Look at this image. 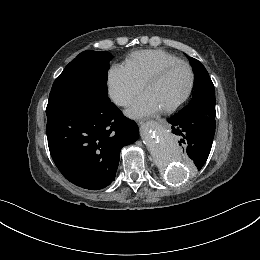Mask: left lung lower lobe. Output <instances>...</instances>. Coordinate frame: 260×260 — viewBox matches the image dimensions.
Wrapping results in <instances>:
<instances>
[{
  "mask_svg": "<svg viewBox=\"0 0 260 260\" xmlns=\"http://www.w3.org/2000/svg\"><path fill=\"white\" fill-rule=\"evenodd\" d=\"M216 112L192 110L179 112L167 119L172 133L180 139L183 154L198 171L204 166L213 143Z\"/></svg>",
  "mask_w": 260,
  "mask_h": 260,
  "instance_id": "left-lung-lower-lobe-1",
  "label": "left lung lower lobe"
}]
</instances>
